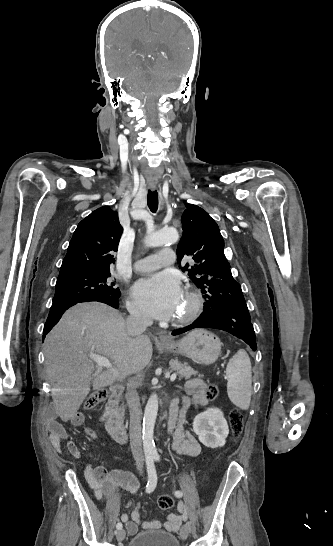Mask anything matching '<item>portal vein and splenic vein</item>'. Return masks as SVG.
I'll list each match as a JSON object with an SVG mask.
<instances>
[{"mask_svg":"<svg viewBox=\"0 0 333 546\" xmlns=\"http://www.w3.org/2000/svg\"><path fill=\"white\" fill-rule=\"evenodd\" d=\"M89 357L94 361L96 362L99 366L101 367H105L111 371H115L112 367V364L110 363L109 359L104 357V356H101V355H98V354H90ZM176 379V374H172L171 377H170V380L173 382L174 380Z\"/></svg>","mask_w":333,"mask_h":546,"instance_id":"1","label":"portal vein and splenic vein"}]
</instances>
